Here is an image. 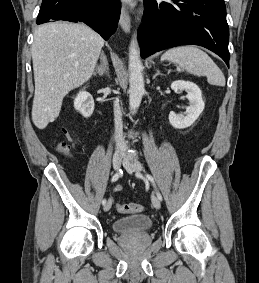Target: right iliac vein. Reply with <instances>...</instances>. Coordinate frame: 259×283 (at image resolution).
Instances as JSON below:
<instances>
[{"label": "right iliac vein", "mask_w": 259, "mask_h": 283, "mask_svg": "<svg viewBox=\"0 0 259 283\" xmlns=\"http://www.w3.org/2000/svg\"><path fill=\"white\" fill-rule=\"evenodd\" d=\"M122 161V154L115 153L113 157V167L115 170H119ZM112 206V200L109 199L108 202L104 205V211H109Z\"/></svg>", "instance_id": "right-iliac-vein-1"}]
</instances>
